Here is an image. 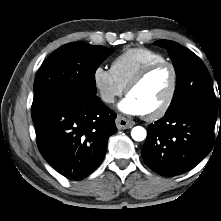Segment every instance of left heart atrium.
<instances>
[{"label": "left heart atrium", "instance_id": "1", "mask_svg": "<svg viewBox=\"0 0 221 221\" xmlns=\"http://www.w3.org/2000/svg\"><path fill=\"white\" fill-rule=\"evenodd\" d=\"M119 108L121 111L127 114H132V115L144 114V111L141 105L139 104V102L130 95H128L119 103Z\"/></svg>", "mask_w": 221, "mask_h": 221}]
</instances>
